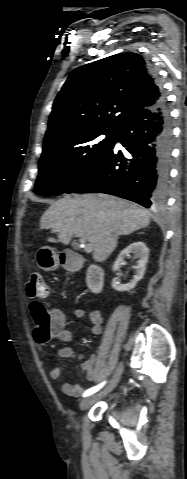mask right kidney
Masks as SVG:
<instances>
[{
  "label": "right kidney",
  "instance_id": "1",
  "mask_svg": "<svg viewBox=\"0 0 187 479\" xmlns=\"http://www.w3.org/2000/svg\"><path fill=\"white\" fill-rule=\"evenodd\" d=\"M131 254H133V258L138 260L137 264L134 266L135 275L133 280L128 284H120L116 279H113L111 286L117 291H129L133 289L145 274L146 264L149 257V249L144 242L140 241L130 244L127 248L121 251L117 257V260L112 266V270L114 272L118 271L121 265L124 264V259L130 257Z\"/></svg>",
  "mask_w": 187,
  "mask_h": 479
}]
</instances>
